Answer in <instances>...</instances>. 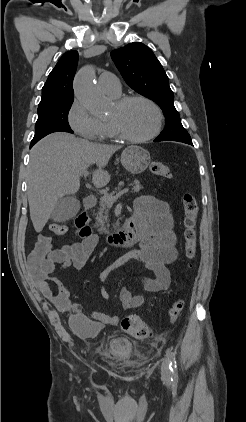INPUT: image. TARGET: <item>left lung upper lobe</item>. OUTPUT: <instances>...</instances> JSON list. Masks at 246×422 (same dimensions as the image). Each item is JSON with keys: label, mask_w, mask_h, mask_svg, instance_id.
Returning <instances> with one entry per match:
<instances>
[{"label": "left lung upper lobe", "mask_w": 246, "mask_h": 422, "mask_svg": "<svg viewBox=\"0 0 246 422\" xmlns=\"http://www.w3.org/2000/svg\"><path fill=\"white\" fill-rule=\"evenodd\" d=\"M111 57L125 82L139 94L153 100L162 109L166 125L156 140L179 142L191 140L174 106V96L168 77L152 50L143 43L133 42L113 50Z\"/></svg>", "instance_id": "5c2ea615"}]
</instances>
